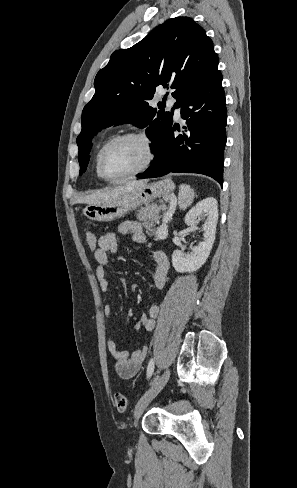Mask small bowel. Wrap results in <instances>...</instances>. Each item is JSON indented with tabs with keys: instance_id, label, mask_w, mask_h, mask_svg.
I'll return each mask as SVG.
<instances>
[{
	"instance_id": "obj_1",
	"label": "small bowel",
	"mask_w": 297,
	"mask_h": 488,
	"mask_svg": "<svg viewBox=\"0 0 297 488\" xmlns=\"http://www.w3.org/2000/svg\"><path fill=\"white\" fill-rule=\"evenodd\" d=\"M118 232L122 235H130L136 243L142 244L148 241L142 225L135 221H124L120 223ZM117 251L118 243L114 233L107 232L98 238V248L94 252V258L97 262L96 278L102 292H106L110 285L106 274L109 254H116ZM152 259L155 262V270L152 275L153 285L156 289L161 290L167 283L169 261L165 253L160 250L152 251ZM120 281L126 293L128 290L127 282L124 278H121ZM159 313L160 306L157 304L151 305L147 313L140 317L137 323V329L148 333L152 332L156 327ZM104 314L106 317L112 314V307L110 305L104 307ZM108 349L114 358L116 373L123 379H130L139 373L147 354L146 346L134 352L120 350L112 338L108 341Z\"/></svg>"
}]
</instances>
